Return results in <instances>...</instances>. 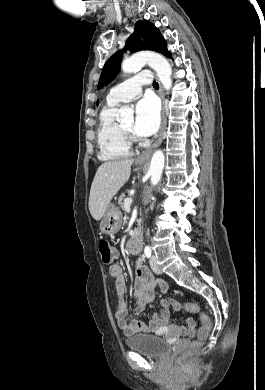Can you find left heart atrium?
<instances>
[{"label":"left heart atrium","instance_id":"39dd6f15","mask_svg":"<svg viewBox=\"0 0 265 390\" xmlns=\"http://www.w3.org/2000/svg\"><path fill=\"white\" fill-rule=\"evenodd\" d=\"M160 124V112L156 101L144 98L136 105V115L133 130L140 137L155 134Z\"/></svg>","mask_w":265,"mask_h":390}]
</instances>
